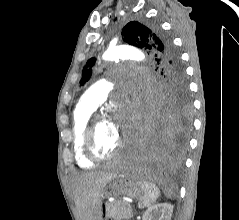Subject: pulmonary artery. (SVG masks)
<instances>
[{
  "label": "pulmonary artery",
  "mask_w": 239,
  "mask_h": 220,
  "mask_svg": "<svg viewBox=\"0 0 239 220\" xmlns=\"http://www.w3.org/2000/svg\"><path fill=\"white\" fill-rule=\"evenodd\" d=\"M109 91L110 83L105 79H101L90 86L82 94L79 104L92 110H96L98 106L107 99Z\"/></svg>",
  "instance_id": "e3ab8cb5"
}]
</instances>
